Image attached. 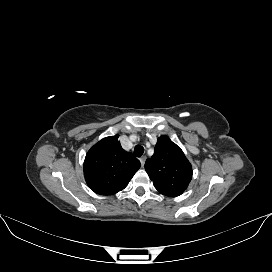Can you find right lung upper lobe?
I'll list each match as a JSON object with an SVG mask.
<instances>
[{"label":"right lung upper lobe","mask_w":272,"mask_h":272,"mask_svg":"<svg viewBox=\"0 0 272 272\" xmlns=\"http://www.w3.org/2000/svg\"><path fill=\"white\" fill-rule=\"evenodd\" d=\"M139 168V160L121 147L115 135L103 138L88 151L84 176L95 193L113 195L127 186Z\"/></svg>","instance_id":"1"}]
</instances>
